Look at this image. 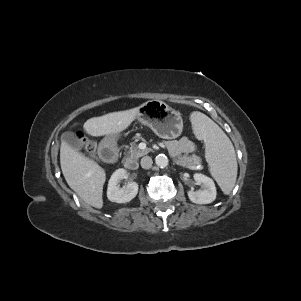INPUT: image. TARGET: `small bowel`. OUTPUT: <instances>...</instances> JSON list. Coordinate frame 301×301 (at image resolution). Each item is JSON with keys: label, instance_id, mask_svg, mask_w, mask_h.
I'll list each match as a JSON object with an SVG mask.
<instances>
[{"label": "small bowel", "instance_id": "1", "mask_svg": "<svg viewBox=\"0 0 301 301\" xmlns=\"http://www.w3.org/2000/svg\"><path fill=\"white\" fill-rule=\"evenodd\" d=\"M167 148L174 157L189 154L195 151V144L188 137L183 136L179 140H171L166 143Z\"/></svg>", "mask_w": 301, "mask_h": 301}]
</instances>
